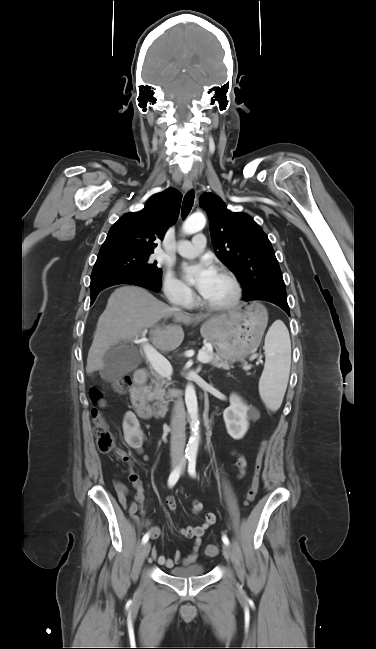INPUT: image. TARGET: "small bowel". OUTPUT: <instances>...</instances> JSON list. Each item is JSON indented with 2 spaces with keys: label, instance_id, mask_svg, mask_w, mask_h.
Returning a JSON list of instances; mask_svg holds the SVG:
<instances>
[{
  "label": "small bowel",
  "instance_id": "c3829d8e",
  "mask_svg": "<svg viewBox=\"0 0 376 649\" xmlns=\"http://www.w3.org/2000/svg\"><path fill=\"white\" fill-rule=\"evenodd\" d=\"M122 431L124 442L131 449H133L137 453H140L142 451V443L144 441V431L139 418L134 412L128 411L125 413L122 422ZM236 465L238 468V477H243L246 469V460L240 456L237 459ZM128 479L133 488L136 490L134 499L132 501H128L129 489L124 483L118 480H114L113 485L119 504L124 510L127 511L129 516L135 522H138L137 513L142 511L145 501L144 488L139 475L132 469H130L129 471ZM165 506L168 511H175V499L173 497H167L165 500ZM202 510L203 504L201 502L194 501L192 503V511L195 514L201 513ZM216 520V515L212 512H209L205 515L204 520L201 524L195 527L187 526L180 529L182 536L193 540L191 552L188 554V556L182 557L181 552L179 550H176L174 552L173 558H167L159 554L156 549H153L151 553L152 558L159 565L165 568H172L178 564L189 565L191 563H194L199 555V548L202 543V537L204 536L205 532L213 524H215ZM146 526L148 528V534L151 535L152 539H158L160 537L161 530L159 527L151 525L149 521L146 522Z\"/></svg>",
  "mask_w": 376,
  "mask_h": 649
}]
</instances>
